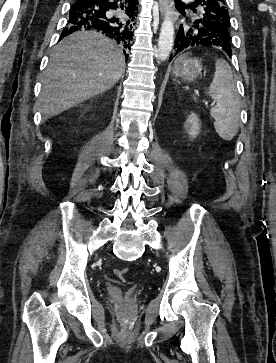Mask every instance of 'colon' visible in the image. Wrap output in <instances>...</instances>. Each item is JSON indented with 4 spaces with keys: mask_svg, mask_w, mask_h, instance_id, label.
I'll list each match as a JSON object with an SVG mask.
<instances>
[{
    "mask_svg": "<svg viewBox=\"0 0 276 363\" xmlns=\"http://www.w3.org/2000/svg\"><path fill=\"white\" fill-rule=\"evenodd\" d=\"M128 273V268H119L114 270V274L120 279H124L125 275Z\"/></svg>",
    "mask_w": 276,
    "mask_h": 363,
    "instance_id": "obj_1",
    "label": "colon"
}]
</instances>
